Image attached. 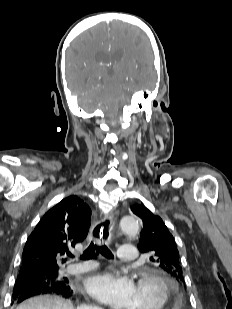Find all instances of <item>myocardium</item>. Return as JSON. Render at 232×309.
<instances>
[{
	"label": "myocardium",
	"instance_id": "obj_1",
	"mask_svg": "<svg viewBox=\"0 0 232 309\" xmlns=\"http://www.w3.org/2000/svg\"><path fill=\"white\" fill-rule=\"evenodd\" d=\"M143 282H152L159 288L161 292L159 304L152 309H166L169 306L172 298V291L168 280L157 271L142 270L138 273L137 283Z\"/></svg>",
	"mask_w": 232,
	"mask_h": 309
}]
</instances>
